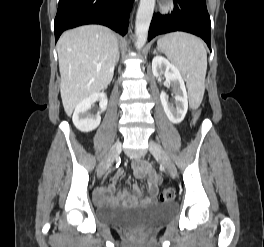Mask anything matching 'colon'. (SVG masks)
Returning <instances> with one entry per match:
<instances>
[{
    "mask_svg": "<svg viewBox=\"0 0 264 247\" xmlns=\"http://www.w3.org/2000/svg\"><path fill=\"white\" fill-rule=\"evenodd\" d=\"M200 115V112L199 111H196L195 114H194V118H198ZM158 198L160 201H171L175 198V191L173 189H164L162 190L159 195H158Z\"/></svg>",
    "mask_w": 264,
    "mask_h": 247,
    "instance_id": "colon-1",
    "label": "colon"
}]
</instances>
